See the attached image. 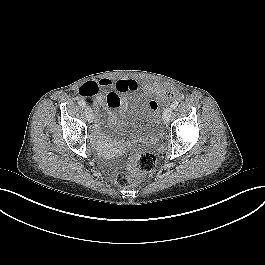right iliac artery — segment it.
I'll return each mask as SVG.
<instances>
[{
    "mask_svg": "<svg viewBox=\"0 0 265 265\" xmlns=\"http://www.w3.org/2000/svg\"><path fill=\"white\" fill-rule=\"evenodd\" d=\"M78 104L81 106V107H85L86 106V103H85V101H83V100H79L78 101Z\"/></svg>",
    "mask_w": 265,
    "mask_h": 265,
    "instance_id": "1",
    "label": "right iliac artery"
}]
</instances>
